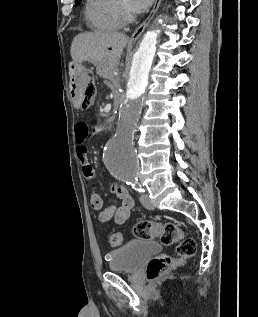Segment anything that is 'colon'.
<instances>
[{
  "instance_id": "1",
  "label": "colon",
  "mask_w": 258,
  "mask_h": 317,
  "mask_svg": "<svg viewBox=\"0 0 258 317\" xmlns=\"http://www.w3.org/2000/svg\"><path fill=\"white\" fill-rule=\"evenodd\" d=\"M96 87L92 75L84 79L80 88V102L83 107L92 105L95 99ZM133 234L138 239H158L163 245L176 244V256L163 255L153 258L147 265V277L150 280L158 279L167 274L182 260L193 257L197 251L194 239L186 237L176 222L168 221L157 223L143 220L133 227ZM107 242L111 247H119L123 243V235L119 231L107 234Z\"/></svg>"
}]
</instances>
